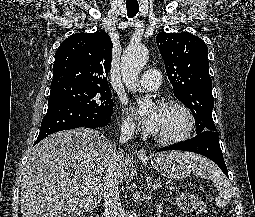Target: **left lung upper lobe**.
I'll use <instances>...</instances> for the list:
<instances>
[{
  "mask_svg": "<svg viewBox=\"0 0 255 217\" xmlns=\"http://www.w3.org/2000/svg\"><path fill=\"white\" fill-rule=\"evenodd\" d=\"M156 42L173 85L174 95L194 115L196 133L216 131L212 118L214 99L208 49L204 41L188 32H160Z\"/></svg>",
  "mask_w": 255,
  "mask_h": 217,
  "instance_id": "left-lung-upper-lobe-1",
  "label": "left lung upper lobe"
}]
</instances>
